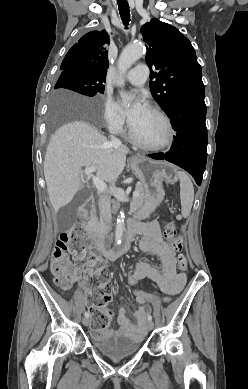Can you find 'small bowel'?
<instances>
[{
    "instance_id": "small-bowel-1",
    "label": "small bowel",
    "mask_w": 248,
    "mask_h": 389,
    "mask_svg": "<svg viewBox=\"0 0 248 389\" xmlns=\"http://www.w3.org/2000/svg\"><path fill=\"white\" fill-rule=\"evenodd\" d=\"M139 231L144 236L139 242V249L148 254L156 255L162 262V270H158L145 261H139L136 269L131 273L137 282L144 278L153 280L159 290L168 295L177 294L185 284L186 277L184 274L176 273V258L172 242H165L161 238L160 228L157 222H148L139 224ZM90 265L87 266L86 272L89 271ZM139 304V308L129 311L121 308L117 318L120 328L117 331L106 330L102 332L105 335H121L140 341L146 334L147 319L151 313L149 301H141L140 298H134ZM91 305V304H88Z\"/></svg>"
}]
</instances>
